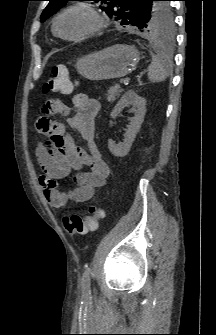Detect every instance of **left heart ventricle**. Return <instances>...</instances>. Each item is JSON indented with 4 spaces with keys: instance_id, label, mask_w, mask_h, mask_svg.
Returning a JSON list of instances; mask_svg holds the SVG:
<instances>
[{
    "instance_id": "b2bd125f",
    "label": "left heart ventricle",
    "mask_w": 216,
    "mask_h": 335,
    "mask_svg": "<svg viewBox=\"0 0 216 335\" xmlns=\"http://www.w3.org/2000/svg\"><path fill=\"white\" fill-rule=\"evenodd\" d=\"M92 24L88 14L74 10L64 14L58 22V31L66 37L76 36L87 30Z\"/></svg>"
}]
</instances>
